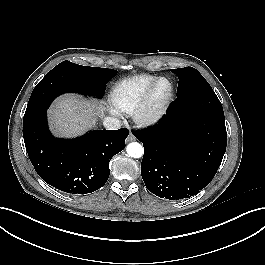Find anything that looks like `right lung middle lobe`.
<instances>
[{
  "instance_id": "obj_1",
  "label": "right lung middle lobe",
  "mask_w": 265,
  "mask_h": 265,
  "mask_svg": "<svg viewBox=\"0 0 265 265\" xmlns=\"http://www.w3.org/2000/svg\"><path fill=\"white\" fill-rule=\"evenodd\" d=\"M116 70L78 65L63 61L48 72L34 88L23 121L46 110L59 95L67 92L94 95L101 98L105 84Z\"/></svg>"
}]
</instances>
